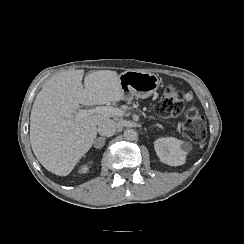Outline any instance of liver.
<instances>
[{"label": "liver", "mask_w": 244, "mask_h": 244, "mask_svg": "<svg viewBox=\"0 0 244 244\" xmlns=\"http://www.w3.org/2000/svg\"><path fill=\"white\" fill-rule=\"evenodd\" d=\"M84 70L57 73L38 92L30 113V144L48 171L67 176L90 150L98 125L112 116L93 114L75 121L81 105H100L126 99L118 72H90L82 85Z\"/></svg>", "instance_id": "6515ba94"}]
</instances>
